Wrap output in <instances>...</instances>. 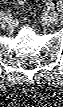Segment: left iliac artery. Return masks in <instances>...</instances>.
<instances>
[{"instance_id":"1","label":"left iliac artery","mask_w":63,"mask_h":107,"mask_svg":"<svg viewBox=\"0 0 63 107\" xmlns=\"http://www.w3.org/2000/svg\"><path fill=\"white\" fill-rule=\"evenodd\" d=\"M53 6H54V3H53L52 1H49V2L47 3V7H48L49 9H52Z\"/></svg>"}]
</instances>
